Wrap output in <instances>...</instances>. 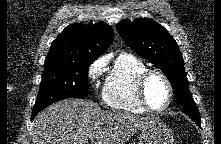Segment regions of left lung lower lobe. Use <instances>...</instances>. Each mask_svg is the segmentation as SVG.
Returning <instances> with one entry per match:
<instances>
[{
  "mask_svg": "<svg viewBox=\"0 0 221 144\" xmlns=\"http://www.w3.org/2000/svg\"><path fill=\"white\" fill-rule=\"evenodd\" d=\"M195 123L198 125V126H200V121H195Z\"/></svg>",
  "mask_w": 221,
  "mask_h": 144,
  "instance_id": "0a47b994",
  "label": "left lung lower lobe"
}]
</instances>
